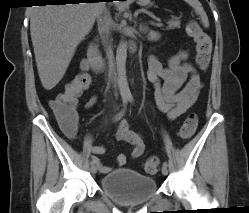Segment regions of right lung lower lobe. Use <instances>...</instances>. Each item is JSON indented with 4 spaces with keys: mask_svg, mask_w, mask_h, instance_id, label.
Returning a JSON list of instances; mask_svg holds the SVG:
<instances>
[{
    "mask_svg": "<svg viewBox=\"0 0 249 213\" xmlns=\"http://www.w3.org/2000/svg\"><path fill=\"white\" fill-rule=\"evenodd\" d=\"M45 2L42 3H54V4H66V3H78L81 1H95V0H43ZM104 1H113V0H104ZM123 1V0H122ZM93 3V2H92Z\"/></svg>",
    "mask_w": 249,
    "mask_h": 213,
    "instance_id": "obj_1",
    "label": "right lung lower lobe"
}]
</instances>
